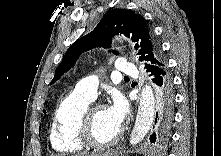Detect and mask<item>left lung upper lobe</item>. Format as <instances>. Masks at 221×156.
Wrapping results in <instances>:
<instances>
[{
    "mask_svg": "<svg viewBox=\"0 0 221 156\" xmlns=\"http://www.w3.org/2000/svg\"><path fill=\"white\" fill-rule=\"evenodd\" d=\"M124 34L136 42L135 49L139 50L140 61H147L145 68L164 63L165 58L161 48L153 36L151 27L139 14L126 9H113L108 12L98 23L96 28L88 35L73 43L59 66L50 84L55 83L76 62L81 53L94 47H109L112 43L111 37L116 34ZM117 55V52H114Z\"/></svg>",
    "mask_w": 221,
    "mask_h": 156,
    "instance_id": "5c2ea615",
    "label": "left lung upper lobe"
}]
</instances>
